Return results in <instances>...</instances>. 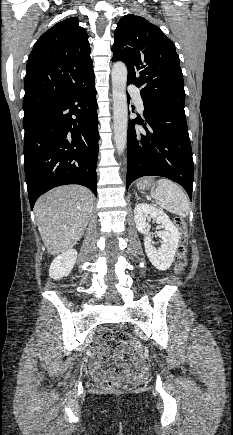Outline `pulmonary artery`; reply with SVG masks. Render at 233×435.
<instances>
[{"instance_id": "pulmonary-artery-1", "label": "pulmonary artery", "mask_w": 233, "mask_h": 435, "mask_svg": "<svg viewBox=\"0 0 233 435\" xmlns=\"http://www.w3.org/2000/svg\"><path fill=\"white\" fill-rule=\"evenodd\" d=\"M129 92H130L132 98L134 99L139 110L143 111L144 106H143V101H142L139 89L136 87H131Z\"/></svg>"}]
</instances>
